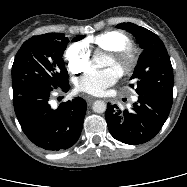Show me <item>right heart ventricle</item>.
<instances>
[{
	"instance_id": "obj_1",
	"label": "right heart ventricle",
	"mask_w": 187,
	"mask_h": 187,
	"mask_svg": "<svg viewBox=\"0 0 187 187\" xmlns=\"http://www.w3.org/2000/svg\"><path fill=\"white\" fill-rule=\"evenodd\" d=\"M90 42L109 52L132 47L131 39L120 31L103 32L92 37Z\"/></svg>"
}]
</instances>
